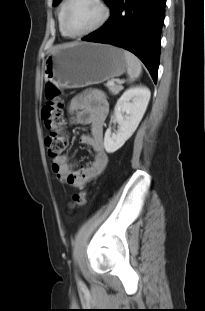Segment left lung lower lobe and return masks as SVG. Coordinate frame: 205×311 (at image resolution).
<instances>
[{
  "mask_svg": "<svg viewBox=\"0 0 205 311\" xmlns=\"http://www.w3.org/2000/svg\"><path fill=\"white\" fill-rule=\"evenodd\" d=\"M165 4L166 0H114L110 19L82 40L132 52L145 64L156 83Z\"/></svg>",
  "mask_w": 205,
  "mask_h": 311,
  "instance_id": "left-lung-lower-lobe-1",
  "label": "left lung lower lobe"
}]
</instances>
